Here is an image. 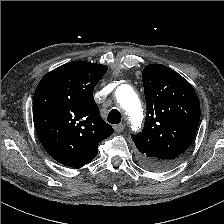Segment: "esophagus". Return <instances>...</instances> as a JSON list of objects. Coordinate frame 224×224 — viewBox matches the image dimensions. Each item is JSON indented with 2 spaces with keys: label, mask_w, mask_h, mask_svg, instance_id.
<instances>
[{
  "label": "esophagus",
  "mask_w": 224,
  "mask_h": 224,
  "mask_svg": "<svg viewBox=\"0 0 224 224\" xmlns=\"http://www.w3.org/2000/svg\"><path fill=\"white\" fill-rule=\"evenodd\" d=\"M125 128L124 124H118L114 126V130L116 133H121Z\"/></svg>",
  "instance_id": "obj_1"
}]
</instances>
